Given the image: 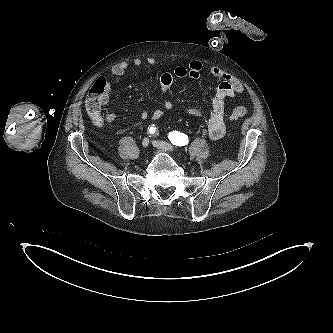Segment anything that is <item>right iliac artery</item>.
<instances>
[{
    "label": "right iliac artery",
    "mask_w": 333,
    "mask_h": 333,
    "mask_svg": "<svg viewBox=\"0 0 333 333\" xmlns=\"http://www.w3.org/2000/svg\"><path fill=\"white\" fill-rule=\"evenodd\" d=\"M149 133L151 134V135H153V134H155L156 133V127H154V126H151L150 128H149Z\"/></svg>",
    "instance_id": "82829eb1"
}]
</instances>
